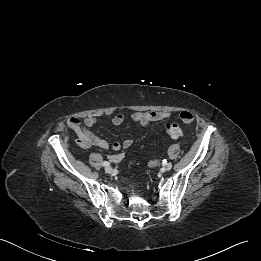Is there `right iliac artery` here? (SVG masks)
Here are the masks:
<instances>
[{
    "instance_id": "right-iliac-artery-1",
    "label": "right iliac artery",
    "mask_w": 261,
    "mask_h": 261,
    "mask_svg": "<svg viewBox=\"0 0 261 261\" xmlns=\"http://www.w3.org/2000/svg\"><path fill=\"white\" fill-rule=\"evenodd\" d=\"M102 165H103V166H105V167H107V166H109V165H110V163H109V162H107V161H104V162L102 163Z\"/></svg>"
}]
</instances>
